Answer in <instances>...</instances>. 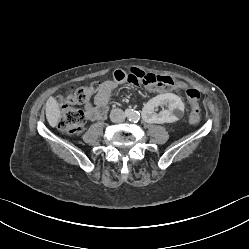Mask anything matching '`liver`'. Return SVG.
<instances>
[{
	"label": "liver",
	"instance_id": "6515ba94",
	"mask_svg": "<svg viewBox=\"0 0 249 249\" xmlns=\"http://www.w3.org/2000/svg\"><path fill=\"white\" fill-rule=\"evenodd\" d=\"M61 117L59 104L54 97H49L46 102V118L51 127H56Z\"/></svg>",
	"mask_w": 249,
	"mask_h": 249
}]
</instances>
